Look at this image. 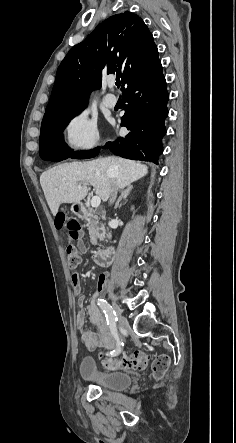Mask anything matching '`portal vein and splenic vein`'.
<instances>
[{"instance_id": "obj_1", "label": "portal vein and splenic vein", "mask_w": 236, "mask_h": 443, "mask_svg": "<svg viewBox=\"0 0 236 443\" xmlns=\"http://www.w3.org/2000/svg\"><path fill=\"white\" fill-rule=\"evenodd\" d=\"M78 188H81V185H78ZM100 203H101V199L98 196H94L91 200V206L93 208L99 207Z\"/></svg>"}]
</instances>
